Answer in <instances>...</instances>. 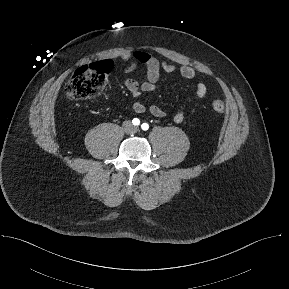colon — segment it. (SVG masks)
<instances>
[{
    "mask_svg": "<svg viewBox=\"0 0 289 289\" xmlns=\"http://www.w3.org/2000/svg\"><path fill=\"white\" fill-rule=\"evenodd\" d=\"M112 68L113 65L109 61L96 62L80 67L66 82L65 93L76 100L97 98L105 91ZM212 107L218 113L225 110V104L221 99H215L212 102Z\"/></svg>",
    "mask_w": 289,
    "mask_h": 289,
    "instance_id": "1",
    "label": "colon"
}]
</instances>
